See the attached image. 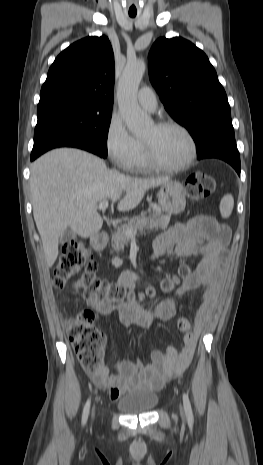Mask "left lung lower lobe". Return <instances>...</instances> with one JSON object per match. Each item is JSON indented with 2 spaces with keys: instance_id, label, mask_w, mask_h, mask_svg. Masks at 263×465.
Instances as JSON below:
<instances>
[{
  "instance_id": "left-lung-lower-lobe-1",
  "label": "left lung lower lobe",
  "mask_w": 263,
  "mask_h": 465,
  "mask_svg": "<svg viewBox=\"0 0 263 465\" xmlns=\"http://www.w3.org/2000/svg\"><path fill=\"white\" fill-rule=\"evenodd\" d=\"M197 158H219L228 162L240 175V155L236 146L235 137H218L213 139L200 152Z\"/></svg>"
}]
</instances>
